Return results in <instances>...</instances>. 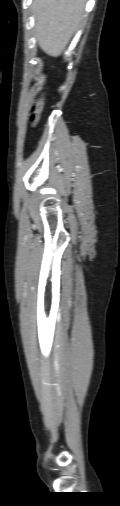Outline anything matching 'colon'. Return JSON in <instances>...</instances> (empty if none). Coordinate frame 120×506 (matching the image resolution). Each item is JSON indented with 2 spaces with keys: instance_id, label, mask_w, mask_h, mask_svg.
Listing matches in <instances>:
<instances>
[{
  "instance_id": "colon-1",
  "label": "colon",
  "mask_w": 120,
  "mask_h": 506,
  "mask_svg": "<svg viewBox=\"0 0 120 506\" xmlns=\"http://www.w3.org/2000/svg\"><path fill=\"white\" fill-rule=\"evenodd\" d=\"M44 101H45V98L43 96V97L39 98L34 105L33 114H32V123H34V124L37 123V121L39 120Z\"/></svg>"
}]
</instances>
